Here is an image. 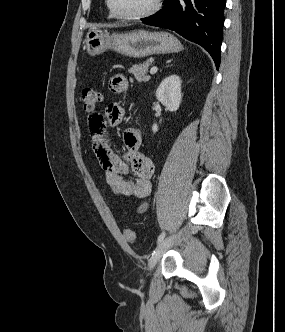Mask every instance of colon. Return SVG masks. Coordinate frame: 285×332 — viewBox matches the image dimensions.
I'll list each match as a JSON object with an SVG mask.
<instances>
[{"mask_svg":"<svg viewBox=\"0 0 285 332\" xmlns=\"http://www.w3.org/2000/svg\"><path fill=\"white\" fill-rule=\"evenodd\" d=\"M103 99L102 93L94 88H86L81 93L84 109L92 114L94 107H98ZM124 237L129 243L136 242V233L132 228L124 229Z\"/></svg>","mask_w":285,"mask_h":332,"instance_id":"5ec220e1","label":"colon"}]
</instances>
